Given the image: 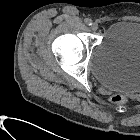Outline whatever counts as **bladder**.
Returning a JSON list of instances; mask_svg holds the SVG:
<instances>
[{"label":"bladder","instance_id":"31cf9c89","mask_svg":"<svg viewBox=\"0 0 140 140\" xmlns=\"http://www.w3.org/2000/svg\"><path fill=\"white\" fill-rule=\"evenodd\" d=\"M91 72L104 87L140 92V22L119 20L105 29L92 55Z\"/></svg>","mask_w":140,"mask_h":140}]
</instances>
